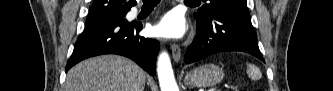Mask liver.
Masks as SVG:
<instances>
[{
  "label": "liver",
  "mask_w": 333,
  "mask_h": 91,
  "mask_svg": "<svg viewBox=\"0 0 333 91\" xmlns=\"http://www.w3.org/2000/svg\"><path fill=\"white\" fill-rule=\"evenodd\" d=\"M145 81L146 73L133 61L103 55L71 68L64 91H143Z\"/></svg>",
  "instance_id": "obj_1"
}]
</instances>
